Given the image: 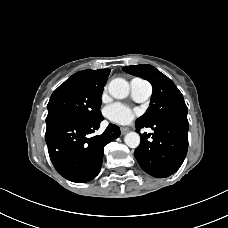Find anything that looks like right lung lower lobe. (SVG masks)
Returning a JSON list of instances; mask_svg holds the SVG:
<instances>
[{"instance_id": "98d812e1", "label": "right lung lower lobe", "mask_w": 228, "mask_h": 228, "mask_svg": "<svg viewBox=\"0 0 228 228\" xmlns=\"http://www.w3.org/2000/svg\"><path fill=\"white\" fill-rule=\"evenodd\" d=\"M103 119L101 115L92 121H63L46 128L50 159L64 178L84 183L98 175L104 146L120 135V128L109 124L101 135L92 137Z\"/></svg>"}]
</instances>
